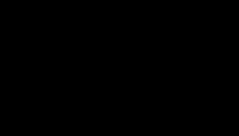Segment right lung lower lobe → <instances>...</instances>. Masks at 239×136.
Segmentation results:
<instances>
[{
	"instance_id": "98d812e1",
	"label": "right lung lower lobe",
	"mask_w": 239,
	"mask_h": 136,
	"mask_svg": "<svg viewBox=\"0 0 239 136\" xmlns=\"http://www.w3.org/2000/svg\"><path fill=\"white\" fill-rule=\"evenodd\" d=\"M106 46L65 37L60 31L47 39L40 68L52 103L65 115L88 118L106 104L113 83L124 67L106 64Z\"/></svg>"
}]
</instances>
